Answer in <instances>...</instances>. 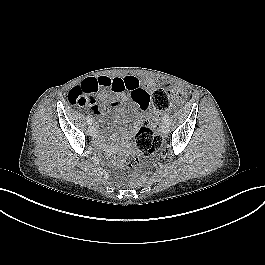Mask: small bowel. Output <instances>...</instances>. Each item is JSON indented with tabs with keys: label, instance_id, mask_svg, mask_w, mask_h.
Segmentation results:
<instances>
[{
	"label": "small bowel",
	"instance_id": "1",
	"mask_svg": "<svg viewBox=\"0 0 265 265\" xmlns=\"http://www.w3.org/2000/svg\"><path fill=\"white\" fill-rule=\"evenodd\" d=\"M91 84L96 85V90L91 91ZM155 86L153 81L141 83L135 76L124 77H107L100 76L87 80L85 83L77 87L85 97V104L82 106H89L92 112L96 115L101 113L97 100L107 101L110 100L111 94H116L112 100L113 107H121L128 100L132 99L135 102V108L139 111L134 116V127L141 124L144 119V111L148 110L151 105L150 90ZM96 93L97 96H94ZM101 140L100 136L97 137Z\"/></svg>",
	"mask_w": 265,
	"mask_h": 265
}]
</instances>
